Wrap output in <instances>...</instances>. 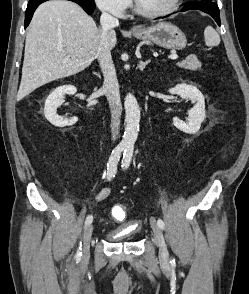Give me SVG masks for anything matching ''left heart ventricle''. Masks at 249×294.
<instances>
[{"label": "left heart ventricle", "instance_id": "b2bd125f", "mask_svg": "<svg viewBox=\"0 0 249 294\" xmlns=\"http://www.w3.org/2000/svg\"><path fill=\"white\" fill-rule=\"evenodd\" d=\"M175 0H139L142 7L151 11H160L169 8Z\"/></svg>", "mask_w": 249, "mask_h": 294}]
</instances>
